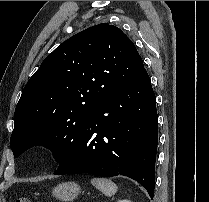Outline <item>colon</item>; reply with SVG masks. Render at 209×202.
<instances>
[{
	"label": "colon",
	"mask_w": 209,
	"mask_h": 202,
	"mask_svg": "<svg viewBox=\"0 0 209 202\" xmlns=\"http://www.w3.org/2000/svg\"><path fill=\"white\" fill-rule=\"evenodd\" d=\"M14 202H34V201H32V200L29 199V198H19V199H17V200L14 201Z\"/></svg>",
	"instance_id": "colon-1"
}]
</instances>
